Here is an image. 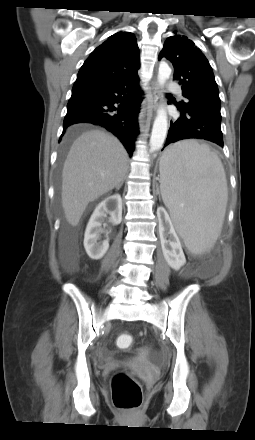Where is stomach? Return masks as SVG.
<instances>
[{"instance_id":"stomach-1","label":"stomach","mask_w":255,"mask_h":440,"mask_svg":"<svg viewBox=\"0 0 255 440\" xmlns=\"http://www.w3.org/2000/svg\"><path fill=\"white\" fill-rule=\"evenodd\" d=\"M166 159V151L164 152V154H163V156H162V158H161V162L163 161V160H165Z\"/></svg>"}]
</instances>
